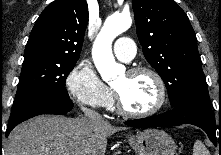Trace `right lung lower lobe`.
<instances>
[{"label": "right lung lower lobe", "instance_id": "98d812e1", "mask_svg": "<svg viewBox=\"0 0 221 155\" xmlns=\"http://www.w3.org/2000/svg\"><path fill=\"white\" fill-rule=\"evenodd\" d=\"M73 108L70 99L58 98L47 94H38L25 101L12 112L6 130V137L19 123L40 114L66 115Z\"/></svg>", "mask_w": 221, "mask_h": 155}]
</instances>
